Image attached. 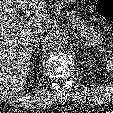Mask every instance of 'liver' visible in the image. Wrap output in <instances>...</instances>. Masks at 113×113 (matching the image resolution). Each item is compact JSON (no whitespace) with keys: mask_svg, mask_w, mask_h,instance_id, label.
Masks as SVG:
<instances>
[{"mask_svg":"<svg viewBox=\"0 0 113 113\" xmlns=\"http://www.w3.org/2000/svg\"><path fill=\"white\" fill-rule=\"evenodd\" d=\"M18 7L28 19L16 26ZM31 14V15H30ZM45 0H0V92L13 95L26 85L31 53L35 42L34 30L49 27Z\"/></svg>","mask_w":113,"mask_h":113,"instance_id":"1","label":"liver"}]
</instances>
